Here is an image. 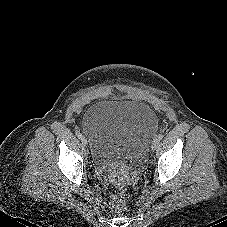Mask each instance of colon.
I'll list each match as a JSON object with an SVG mask.
<instances>
[{"mask_svg": "<svg viewBox=\"0 0 227 227\" xmlns=\"http://www.w3.org/2000/svg\"><path fill=\"white\" fill-rule=\"evenodd\" d=\"M110 204L111 207L117 212H121L127 208L128 199L124 188H120L114 192L111 197Z\"/></svg>", "mask_w": 227, "mask_h": 227, "instance_id": "colon-1", "label": "colon"}]
</instances>
